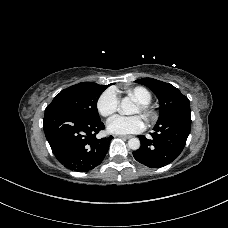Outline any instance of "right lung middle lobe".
Here are the masks:
<instances>
[{
	"mask_svg": "<svg viewBox=\"0 0 228 228\" xmlns=\"http://www.w3.org/2000/svg\"><path fill=\"white\" fill-rule=\"evenodd\" d=\"M107 87L93 82L73 85L62 90L47 109L63 108L86 119H98L97 100Z\"/></svg>",
	"mask_w": 228,
	"mask_h": 228,
	"instance_id": "1",
	"label": "right lung middle lobe"
}]
</instances>
